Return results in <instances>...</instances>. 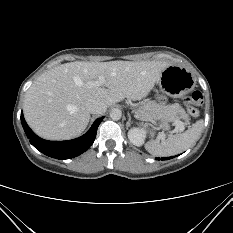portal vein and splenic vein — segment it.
<instances>
[{
  "mask_svg": "<svg viewBox=\"0 0 233 233\" xmlns=\"http://www.w3.org/2000/svg\"><path fill=\"white\" fill-rule=\"evenodd\" d=\"M92 84H93L94 86H97V87L103 85V78H102V77H99V79H98L97 81L93 82ZM175 125H176V128H177L178 131H183V130H184V123H183V122H181V121H176V122H175ZM164 137H165V134H162V135H161V138H164Z\"/></svg>",
  "mask_w": 233,
  "mask_h": 233,
  "instance_id": "18ae733b",
  "label": "portal vein and splenic vein"
}]
</instances>
